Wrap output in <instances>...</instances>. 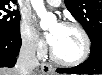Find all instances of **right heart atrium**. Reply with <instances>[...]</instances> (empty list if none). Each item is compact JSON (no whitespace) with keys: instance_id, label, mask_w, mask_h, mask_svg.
<instances>
[{"instance_id":"d8ad5b80","label":"right heart atrium","mask_w":102,"mask_h":75,"mask_svg":"<svg viewBox=\"0 0 102 75\" xmlns=\"http://www.w3.org/2000/svg\"><path fill=\"white\" fill-rule=\"evenodd\" d=\"M20 38L22 46L29 53H35L43 57L46 51L44 43L38 38L33 30L30 20L24 19L20 26Z\"/></svg>"}]
</instances>
